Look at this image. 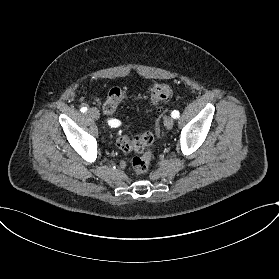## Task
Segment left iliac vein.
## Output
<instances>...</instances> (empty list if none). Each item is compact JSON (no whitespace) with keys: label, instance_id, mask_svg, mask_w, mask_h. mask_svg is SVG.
I'll use <instances>...</instances> for the list:
<instances>
[{"label":"left iliac vein","instance_id":"1","mask_svg":"<svg viewBox=\"0 0 279 279\" xmlns=\"http://www.w3.org/2000/svg\"><path fill=\"white\" fill-rule=\"evenodd\" d=\"M165 126H166V128H167L168 130H171V129L173 128V126H174V121H173V119L170 118V117H167V118L165 119Z\"/></svg>","mask_w":279,"mask_h":279}]
</instances>
